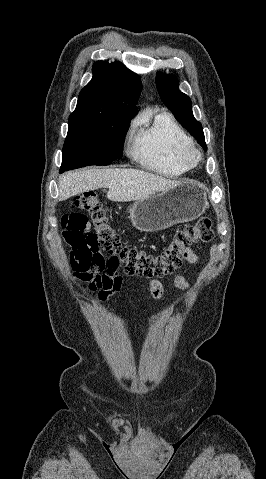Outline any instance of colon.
<instances>
[{
	"label": "colon",
	"mask_w": 266,
	"mask_h": 479,
	"mask_svg": "<svg viewBox=\"0 0 266 479\" xmlns=\"http://www.w3.org/2000/svg\"><path fill=\"white\" fill-rule=\"evenodd\" d=\"M94 231H89V219ZM62 228L70 250L74 277L103 300L118 291L122 273L160 278L173 273L193 245L214 237L212 220L200 218L178 230L160 253L126 246L110 222L109 215L94 192L73 198L70 213L62 218Z\"/></svg>",
	"instance_id": "5ec220e1"
}]
</instances>
